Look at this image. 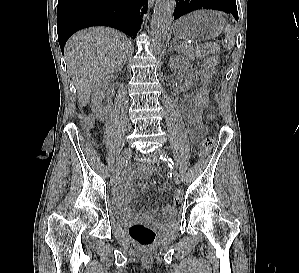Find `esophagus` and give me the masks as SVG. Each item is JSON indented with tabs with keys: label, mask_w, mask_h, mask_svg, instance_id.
Masks as SVG:
<instances>
[{
	"label": "esophagus",
	"mask_w": 299,
	"mask_h": 273,
	"mask_svg": "<svg viewBox=\"0 0 299 273\" xmlns=\"http://www.w3.org/2000/svg\"><path fill=\"white\" fill-rule=\"evenodd\" d=\"M150 5L152 6L154 3V0H149Z\"/></svg>",
	"instance_id": "esophagus-1"
}]
</instances>
